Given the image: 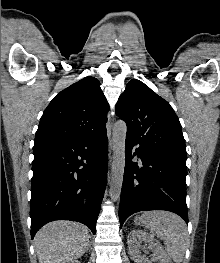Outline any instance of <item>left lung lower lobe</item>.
Returning a JSON list of instances; mask_svg holds the SVG:
<instances>
[{
    "mask_svg": "<svg viewBox=\"0 0 220 263\" xmlns=\"http://www.w3.org/2000/svg\"><path fill=\"white\" fill-rule=\"evenodd\" d=\"M134 156L141 158V168L132 161ZM186 172V165L126 137L120 228L130 215L147 210L174 212L188 223Z\"/></svg>",
    "mask_w": 220,
    "mask_h": 263,
    "instance_id": "0a47b994",
    "label": "left lung lower lobe"
}]
</instances>
